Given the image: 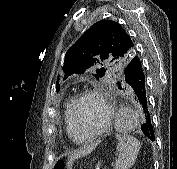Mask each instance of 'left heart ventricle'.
<instances>
[{
  "instance_id": "b2bd125f",
  "label": "left heart ventricle",
  "mask_w": 177,
  "mask_h": 169,
  "mask_svg": "<svg viewBox=\"0 0 177 169\" xmlns=\"http://www.w3.org/2000/svg\"><path fill=\"white\" fill-rule=\"evenodd\" d=\"M105 119V111L95 97L82 100L78 106L76 123L79 136L89 135L100 128Z\"/></svg>"
}]
</instances>
